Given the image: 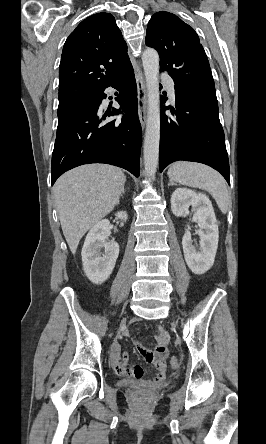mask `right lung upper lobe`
Masks as SVG:
<instances>
[{
	"mask_svg": "<svg viewBox=\"0 0 266 444\" xmlns=\"http://www.w3.org/2000/svg\"><path fill=\"white\" fill-rule=\"evenodd\" d=\"M130 62L127 45L109 13L83 20L67 38L59 66V98L97 93Z\"/></svg>",
	"mask_w": 266,
	"mask_h": 444,
	"instance_id": "1",
	"label": "right lung upper lobe"
}]
</instances>
